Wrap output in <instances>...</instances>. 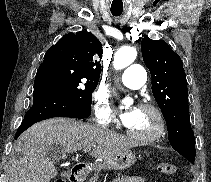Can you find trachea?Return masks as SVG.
Returning a JSON list of instances; mask_svg holds the SVG:
<instances>
[{
  "instance_id": "obj_1",
  "label": "trachea",
  "mask_w": 211,
  "mask_h": 182,
  "mask_svg": "<svg viewBox=\"0 0 211 182\" xmlns=\"http://www.w3.org/2000/svg\"><path fill=\"white\" fill-rule=\"evenodd\" d=\"M111 13L113 16H120L122 14V11H113L111 10Z\"/></svg>"
}]
</instances>
